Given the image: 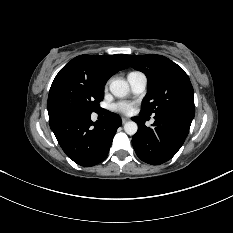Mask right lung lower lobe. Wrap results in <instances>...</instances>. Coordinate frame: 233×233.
Returning a JSON list of instances; mask_svg holds the SVG:
<instances>
[{"mask_svg": "<svg viewBox=\"0 0 233 233\" xmlns=\"http://www.w3.org/2000/svg\"><path fill=\"white\" fill-rule=\"evenodd\" d=\"M49 123L65 154L75 163L90 167L108 155L113 137L121 125L118 115L106 112L103 121L92 122L91 113L75 109L48 111Z\"/></svg>", "mask_w": 233, "mask_h": 233, "instance_id": "obj_1", "label": "right lung lower lobe"}]
</instances>
